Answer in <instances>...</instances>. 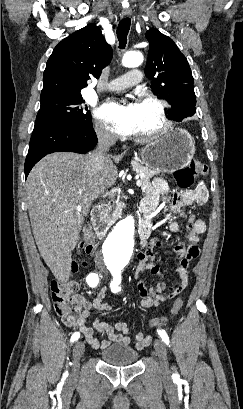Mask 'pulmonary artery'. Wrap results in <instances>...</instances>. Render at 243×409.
<instances>
[{
	"label": "pulmonary artery",
	"mask_w": 243,
	"mask_h": 409,
	"mask_svg": "<svg viewBox=\"0 0 243 409\" xmlns=\"http://www.w3.org/2000/svg\"><path fill=\"white\" fill-rule=\"evenodd\" d=\"M141 80V72L139 70H131L121 77L111 81L107 85L110 91H122L128 87L134 86Z\"/></svg>",
	"instance_id": "pulmonary-artery-1"
}]
</instances>
